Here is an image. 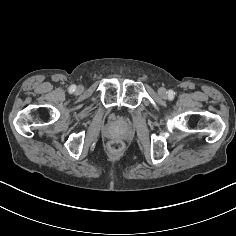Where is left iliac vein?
<instances>
[{"label":"left iliac vein","instance_id":"4c4485c4","mask_svg":"<svg viewBox=\"0 0 236 236\" xmlns=\"http://www.w3.org/2000/svg\"><path fill=\"white\" fill-rule=\"evenodd\" d=\"M158 94H159L161 97H165L166 94H167V91H166V89H165L164 87H160V88L158 89Z\"/></svg>","mask_w":236,"mask_h":236}]
</instances>
